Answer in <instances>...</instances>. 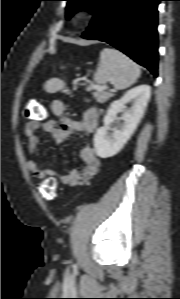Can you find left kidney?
Here are the masks:
<instances>
[{
  "instance_id": "1",
  "label": "left kidney",
  "mask_w": 180,
  "mask_h": 299,
  "mask_svg": "<svg viewBox=\"0 0 180 299\" xmlns=\"http://www.w3.org/2000/svg\"><path fill=\"white\" fill-rule=\"evenodd\" d=\"M150 86L140 85L127 91L119 100L111 103L103 122L104 126L97 129L94 136V147L97 156L108 158L116 155L130 139L144 115L150 99ZM131 102L132 106L126 109V104ZM123 110L126 112L119 120L124 123L119 129L113 130V135L108 136L110 124L117 120V114Z\"/></svg>"
}]
</instances>
